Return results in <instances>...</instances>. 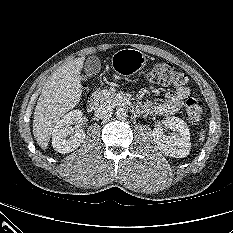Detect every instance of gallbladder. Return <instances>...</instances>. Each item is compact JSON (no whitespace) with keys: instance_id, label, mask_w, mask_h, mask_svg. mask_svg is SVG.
<instances>
[{"instance_id":"bac80fb5","label":"gallbladder","mask_w":233,"mask_h":233,"mask_svg":"<svg viewBox=\"0 0 233 233\" xmlns=\"http://www.w3.org/2000/svg\"><path fill=\"white\" fill-rule=\"evenodd\" d=\"M83 69L86 77H92L93 75L99 73L101 69L99 58L97 56H89L83 65Z\"/></svg>"}]
</instances>
